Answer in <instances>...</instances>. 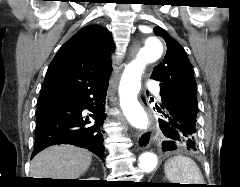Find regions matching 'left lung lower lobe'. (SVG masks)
<instances>
[{
	"instance_id": "0a47b994",
	"label": "left lung lower lobe",
	"mask_w": 240,
	"mask_h": 187,
	"mask_svg": "<svg viewBox=\"0 0 240 187\" xmlns=\"http://www.w3.org/2000/svg\"><path fill=\"white\" fill-rule=\"evenodd\" d=\"M161 97L162 106L156 107L157 111L162 114L159 126L163 134L170 139L163 142L162 151L168 152L178 147L191 152L197 151V112L171 98Z\"/></svg>"
}]
</instances>
